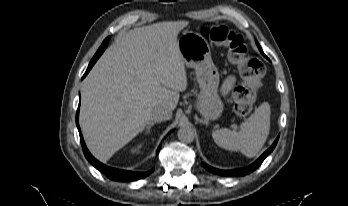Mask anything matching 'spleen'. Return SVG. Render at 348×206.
<instances>
[{
    "mask_svg": "<svg viewBox=\"0 0 348 206\" xmlns=\"http://www.w3.org/2000/svg\"><path fill=\"white\" fill-rule=\"evenodd\" d=\"M270 131V107L261 104L255 112L245 120L238 132L227 128L212 133L214 142L226 150L240 151L248 158L258 155L264 146Z\"/></svg>",
    "mask_w": 348,
    "mask_h": 206,
    "instance_id": "obj_1",
    "label": "spleen"
}]
</instances>
